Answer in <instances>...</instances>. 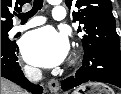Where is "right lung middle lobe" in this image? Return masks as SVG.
I'll list each match as a JSON object with an SVG mask.
<instances>
[{
    "instance_id": "right-lung-middle-lobe-1",
    "label": "right lung middle lobe",
    "mask_w": 121,
    "mask_h": 94,
    "mask_svg": "<svg viewBox=\"0 0 121 94\" xmlns=\"http://www.w3.org/2000/svg\"><path fill=\"white\" fill-rule=\"evenodd\" d=\"M10 29H3L1 30V43L3 44H9L12 43V41L9 40L8 38V31Z\"/></svg>"
}]
</instances>
